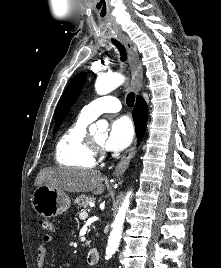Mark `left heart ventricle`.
I'll return each instance as SVG.
<instances>
[{
  "mask_svg": "<svg viewBox=\"0 0 221 268\" xmlns=\"http://www.w3.org/2000/svg\"><path fill=\"white\" fill-rule=\"evenodd\" d=\"M94 138V140L99 143V144H103L104 140H105V136L104 135H94L92 136Z\"/></svg>",
  "mask_w": 221,
  "mask_h": 268,
  "instance_id": "1",
  "label": "left heart ventricle"
}]
</instances>
